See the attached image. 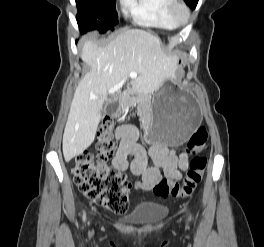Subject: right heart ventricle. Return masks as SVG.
I'll return each mask as SVG.
<instances>
[{"label": "right heart ventricle", "instance_id": "e07e8e85", "mask_svg": "<svg viewBox=\"0 0 264 247\" xmlns=\"http://www.w3.org/2000/svg\"><path fill=\"white\" fill-rule=\"evenodd\" d=\"M174 0H128L127 10L142 26L173 30L177 26L170 14Z\"/></svg>", "mask_w": 264, "mask_h": 247}]
</instances>
